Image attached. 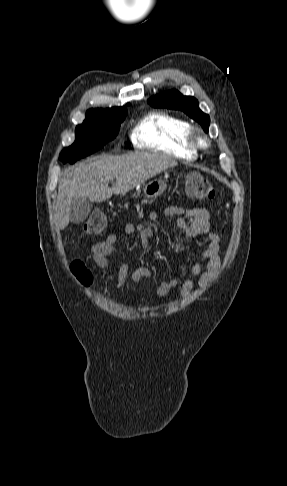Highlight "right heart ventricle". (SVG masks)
<instances>
[{"label":"right heart ventricle","mask_w":287,"mask_h":486,"mask_svg":"<svg viewBox=\"0 0 287 486\" xmlns=\"http://www.w3.org/2000/svg\"><path fill=\"white\" fill-rule=\"evenodd\" d=\"M189 123L173 114L154 112L142 118L131 132L135 148L188 159L196 151L188 141Z\"/></svg>","instance_id":"obj_1"}]
</instances>
